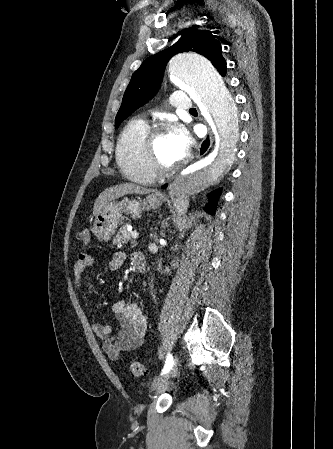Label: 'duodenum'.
Segmentation results:
<instances>
[{"mask_svg": "<svg viewBox=\"0 0 333 449\" xmlns=\"http://www.w3.org/2000/svg\"><path fill=\"white\" fill-rule=\"evenodd\" d=\"M132 263L139 273H144L146 271L147 263L142 253H134L132 255Z\"/></svg>", "mask_w": 333, "mask_h": 449, "instance_id": "duodenum-1", "label": "duodenum"}]
</instances>
